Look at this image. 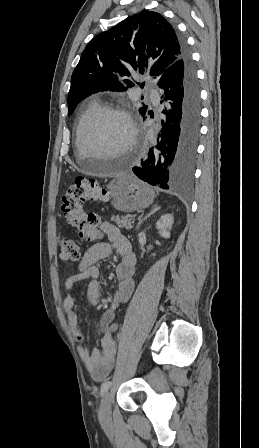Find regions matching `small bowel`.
<instances>
[{
  "mask_svg": "<svg viewBox=\"0 0 259 448\" xmlns=\"http://www.w3.org/2000/svg\"><path fill=\"white\" fill-rule=\"evenodd\" d=\"M100 231L102 234L101 240L86 250L78 266V272L66 279L65 287L68 294L63 301L68 325L75 340L81 343L84 336L78 328V317L74 311L75 284L81 280H89L87 287L88 301L92 305H98L100 303V282L99 269L95 264L107 258L113 248L117 250L120 256L115 270L117 290L110 308L102 314L99 322V329L103 333L101 340L102 349L101 351L97 349L90 351L82 346L78 349L81 360L95 381H101L105 378L114 364L116 343L113 334L118 326L113 322V319L118 304L129 300L135 289L133 276L136 264V257L130 242L116 226L103 223L100 226Z\"/></svg>",
  "mask_w": 259,
  "mask_h": 448,
  "instance_id": "1",
  "label": "small bowel"
}]
</instances>
